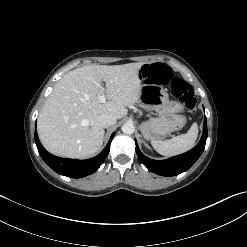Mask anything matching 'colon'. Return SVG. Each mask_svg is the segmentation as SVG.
<instances>
[{
    "label": "colon",
    "instance_id": "colon-1",
    "mask_svg": "<svg viewBox=\"0 0 247 247\" xmlns=\"http://www.w3.org/2000/svg\"><path fill=\"white\" fill-rule=\"evenodd\" d=\"M140 76L148 83L169 84L172 95L178 98L189 112L196 110L197 100L192 87L184 80L173 77L170 67L161 63L146 64L141 68Z\"/></svg>",
    "mask_w": 247,
    "mask_h": 247
}]
</instances>
